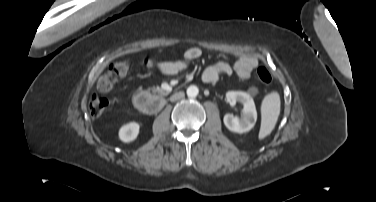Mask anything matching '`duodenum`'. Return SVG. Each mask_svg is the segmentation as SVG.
Listing matches in <instances>:
<instances>
[{
  "instance_id": "duodenum-1",
  "label": "duodenum",
  "mask_w": 376,
  "mask_h": 202,
  "mask_svg": "<svg viewBox=\"0 0 376 202\" xmlns=\"http://www.w3.org/2000/svg\"><path fill=\"white\" fill-rule=\"evenodd\" d=\"M132 101L138 111L146 114L157 113L164 105V99L161 94H150L147 92L136 93Z\"/></svg>"
}]
</instances>
